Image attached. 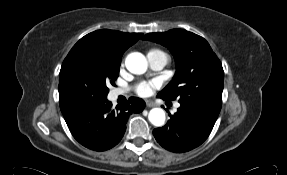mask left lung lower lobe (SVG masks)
I'll use <instances>...</instances> for the list:
<instances>
[{"mask_svg":"<svg viewBox=\"0 0 287 175\" xmlns=\"http://www.w3.org/2000/svg\"><path fill=\"white\" fill-rule=\"evenodd\" d=\"M214 124L196 110L181 105L174 115H170L165 126L153 130V135L163 148L182 153L201 145L208 138Z\"/></svg>","mask_w":287,"mask_h":175,"instance_id":"obj_1","label":"left lung lower lobe"}]
</instances>
